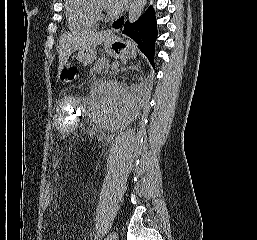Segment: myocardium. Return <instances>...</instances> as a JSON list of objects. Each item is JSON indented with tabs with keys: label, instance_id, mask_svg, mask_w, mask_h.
<instances>
[{
	"label": "myocardium",
	"instance_id": "obj_1",
	"mask_svg": "<svg viewBox=\"0 0 257 240\" xmlns=\"http://www.w3.org/2000/svg\"><path fill=\"white\" fill-rule=\"evenodd\" d=\"M87 1H88L90 10L96 17L100 19L107 16L108 10L106 7L102 6L99 3V0H87Z\"/></svg>",
	"mask_w": 257,
	"mask_h": 240
}]
</instances>
